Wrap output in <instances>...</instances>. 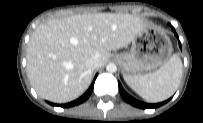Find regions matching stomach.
<instances>
[{
  "mask_svg": "<svg viewBox=\"0 0 203 123\" xmlns=\"http://www.w3.org/2000/svg\"><path fill=\"white\" fill-rule=\"evenodd\" d=\"M172 51V43L165 32L146 27L133 38L130 51L115 58L124 76H135L165 65Z\"/></svg>",
  "mask_w": 203,
  "mask_h": 123,
  "instance_id": "1",
  "label": "stomach"
}]
</instances>
